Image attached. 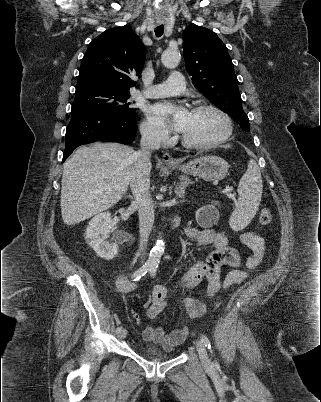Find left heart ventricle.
Here are the masks:
<instances>
[{
    "label": "left heart ventricle",
    "mask_w": 321,
    "mask_h": 402,
    "mask_svg": "<svg viewBox=\"0 0 321 402\" xmlns=\"http://www.w3.org/2000/svg\"><path fill=\"white\" fill-rule=\"evenodd\" d=\"M225 131L223 118L212 110L191 111L182 134L193 142H210Z\"/></svg>",
    "instance_id": "b2bd125f"
}]
</instances>
